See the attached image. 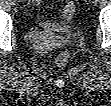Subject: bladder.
Wrapping results in <instances>:
<instances>
[{
  "label": "bladder",
  "instance_id": "1",
  "mask_svg": "<svg viewBox=\"0 0 111 106\" xmlns=\"http://www.w3.org/2000/svg\"><path fill=\"white\" fill-rule=\"evenodd\" d=\"M49 28L58 31V32H63V31H67L69 29V25L68 24H46Z\"/></svg>",
  "mask_w": 111,
  "mask_h": 106
}]
</instances>
